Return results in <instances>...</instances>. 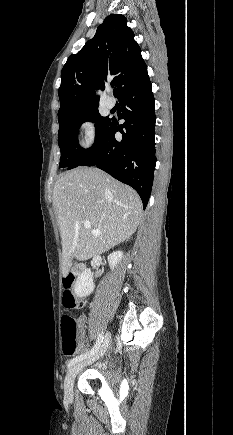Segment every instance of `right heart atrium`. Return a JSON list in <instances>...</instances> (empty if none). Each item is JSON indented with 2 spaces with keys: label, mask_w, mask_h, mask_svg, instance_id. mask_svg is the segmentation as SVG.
Here are the masks:
<instances>
[{
  "label": "right heart atrium",
  "mask_w": 233,
  "mask_h": 435,
  "mask_svg": "<svg viewBox=\"0 0 233 435\" xmlns=\"http://www.w3.org/2000/svg\"><path fill=\"white\" fill-rule=\"evenodd\" d=\"M81 130L83 133V144L86 147L91 146L96 140V126L93 120H84L81 124Z\"/></svg>",
  "instance_id": "d8ad5b80"
}]
</instances>
